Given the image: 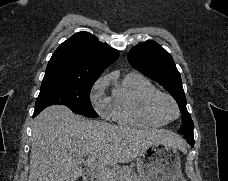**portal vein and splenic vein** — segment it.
I'll list each match as a JSON object with an SVG mask.
<instances>
[{"mask_svg": "<svg viewBox=\"0 0 228 181\" xmlns=\"http://www.w3.org/2000/svg\"><path fill=\"white\" fill-rule=\"evenodd\" d=\"M85 165H87V167H91V169H93L95 173H98L100 177H103V175H106V179H113V177H116V175L109 177V175H111V173H109L110 169H108L106 165H100V163H97L95 157H89V159H86Z\"/></svg>", "mask_w": 228, "mask_h": 181, "instance_id": "1", "label": "portal vein and splenic vein"}]
</instances>
